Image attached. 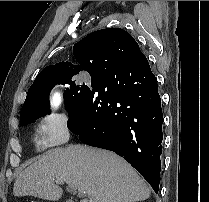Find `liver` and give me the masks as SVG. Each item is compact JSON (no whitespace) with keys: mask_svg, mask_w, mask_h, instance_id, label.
<instances>
[{"mask_svg":"<svg viewBox=\"0 0 209 202\" xmlns=\"http://www.w3.org/2000/svg\"><path fill=\"white\" fill-rule=\"evenodd\" d=\"M55 179L84 190L88 198L80 202H136L150 196V188L124 159L80 144L37 157L16 178L13 194L56 201L63 190L54 184Z\"/></svg>","mask_w":209,"mask_h":202,"instance_id":"liver-1","label":"liver"}]
</instances>
